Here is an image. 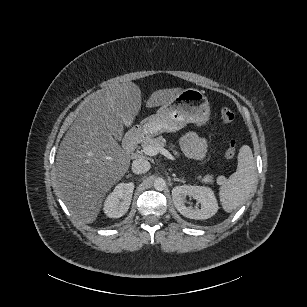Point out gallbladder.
Returning <instances> with one entry per match:
<instances>
[{
  "mask_svg": "<svg viewBox=\"0 0 307 307\" xmlns=\"http://www.w3.org/2000/svg\"><path fill=\"white\" fill-rule=\"evenodd\" d=\"M107 119L108 120L106 122V125L110 129L113 139L117 140L118 142H121L123 140V137L121 136L123 131V124L121 120L113 114H109L107 116Z\"/></svg>",
  "mask_w": 307,
  "mask_h": 307,
  "instance_id": "1",
  "label": "gallbladder"
}]
</instances>
